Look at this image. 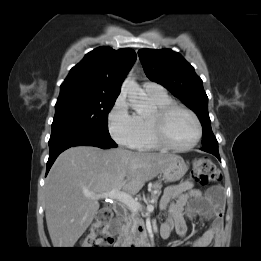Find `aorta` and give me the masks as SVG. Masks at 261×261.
<instances>
[{
	"label": "aorta",
	"mask_w": 261,
	"mask_h": 261,
	"mask_svg": "<svg viewBox=\"0 0 261 261\" xmlns=\"http://www.w3.org/2000/svg\"><path fill=\"white\" fill-rule=\"evenodd\" d=\"M121 93L128 98L131 107L137 112H140L145 108V103L139 96L140 88L130 77L124 80L121 86Z\"/></svg>",
	"instance_id": "obj_1"
}]
</instances>
